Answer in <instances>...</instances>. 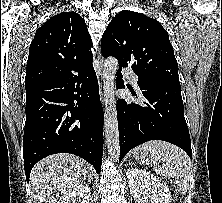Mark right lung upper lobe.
<instances>
[{"label": "right lung upper lobe", "instance_id": "obj_1", "mask_svg": "<svg viewBox=\"0 0 222 203\" xmlns=\"http://www.w3.org/2000/svg\"><path fill=\"white\" fill-rule=\"evenodd\" d=\"M91 47V37L79 14L63 12L51 17L36 31L31 42L25 88L93 67Z\"/></svg>", "mask_w": 222, "mask_h": 203}]
</instances>
